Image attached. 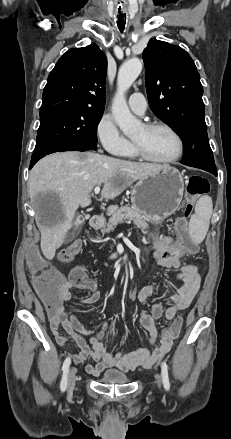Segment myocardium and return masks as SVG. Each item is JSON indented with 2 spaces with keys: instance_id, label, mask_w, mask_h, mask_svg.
I'll use <instances>...</instances> for the list:
<instances>
[{
  "instance_id": "obj_1",
  "label": "myocardium",
  "mask_w": 231,
  "mask_h": 439,
  "mask_svg": "<svg viewBox=\"0 0 231 439\" xmlns=\"http://www.w3.org/2000/svg\"><path fill=\"white\" fill-rule=\"evenodd\" d=\"M143 128L148 131L154 129L167 130L176 140L177 151L172 157L168 159H156L150 156L140 144H138L135 141H132V146L137 156H139L141 159L145 161L156 163V164H172L181 158L184 152V142L180 134L172 126L164 122H152L145 124Z\"/></svg>"
}]
</instances>
